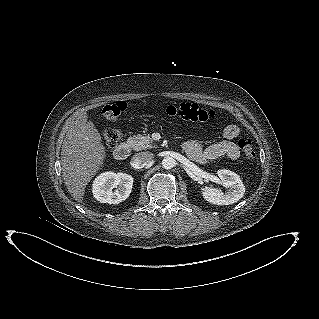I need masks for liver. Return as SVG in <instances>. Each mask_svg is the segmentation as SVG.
I'll return each instance as SVG.
<instances>
[{"label": "liver", "mask_w": 319, "mask_h": 319, "mask_svg": "<svg viewBox=\"0 0 319 319\" xmlns=\"http://www.w3.org/2000/svg\"><path fill=\"white\" fill-rule=\"evenodd\" d=\"M105 158L101 135L86 112L78 114L67 128L61 149L62 177L77 202H82L85 188Z\"/></svg>", "instance_id": "liver-1"}]
</instances>
